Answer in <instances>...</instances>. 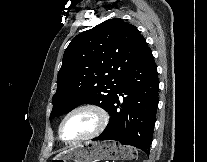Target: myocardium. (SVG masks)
<instances>
[{
	"mask_svg": "<svg viewBox=\"0 0 207 162\" xmlns=\"http://www.w3.org/2000/svg\"><path fill=\"white\" fill-rule=\"evenodd\" d=\"M81 111H92L97 115L98 118V125L97 127L89 134L80 137L78 139H74V140H66L63 137V127L65 122L74 114L81 112ZM109 122V114L108 112L99 104L96 103H87V104H83L80 105L78 107H76L75 109H73L72 111H70L67 115H65V117L62 119L60 125H59V137L60 139L65 142V143H79V142H83L89 139H92L96 136H98L100 133H102L104 131V129L107 127Z\"/></svg>",
	"mask_w": 207,
	"mask_h": 162,
	"instance_id": "f54148a6",
	"label": "myocardium"
}]
</instances>
